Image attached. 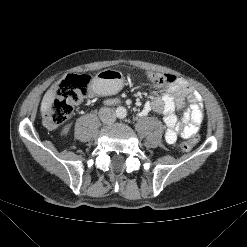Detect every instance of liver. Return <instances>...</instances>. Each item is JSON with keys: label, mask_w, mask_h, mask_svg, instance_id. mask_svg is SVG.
Here are the masks:
<instances>
[{"label": "liver", "mask_w": 247, "mask_h": 247, "mask_svg": "<svg viewBox=\"0 0 247 247\" xmlns=\"http://www.w3.org/2000/svg\"><path fill=\"white\" fill-rule=\"evenodd\" d=\"M55 95H56V91L53 89H50L45 93L40 108L42 114H45L49 110L55 99Z\"/></svg>", "instance_id": "obj_1"}]
</instances>
